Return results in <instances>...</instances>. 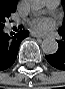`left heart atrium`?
Returning <instances> with one entry per match:
<instances>
[{
    "mask_svg": "<svg viewBox=\"0 0 65 89\" xmlns=\"http://www.w3.org/2000/svg\"><path fill=\"white\" fill-rule=\"evenodd\" d=\"M50 26V21L48 19H41L35 23V28L39 30H45Z\"/></svg>",
    "mask_w": 65,
    "mask_h": 89,
    "instance_id": "left-heart-atrium-1",
    "label": "left heart atrium"
}]
</instances>
